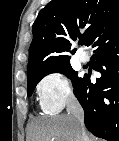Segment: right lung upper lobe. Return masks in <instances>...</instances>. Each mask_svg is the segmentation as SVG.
<instances>
[{
    "instance_id": "1",
    "label": "right lung upper lobe",
    "mask_w": 119,
    "mask_h": 141,
    "mask_svg": "<svg viewBox=\"0 0 119 141\" xmlns=\"http://www.w3.org/2000/svg\"><path fill=\"white\" fill-rule=\"evenodd\" d=\"M119 18V0H52L38 14L29 49L28 75L69 63L71 42L91 46L99 31ZM84 30L83 35L80 33Z\"/></svg>"
}]
</instances>
